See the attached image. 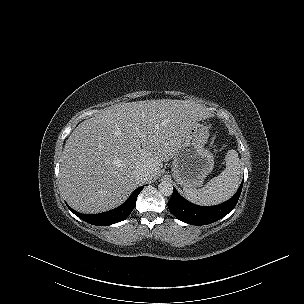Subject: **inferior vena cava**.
Listing matches in <instances>:
<instances>
[{"label":"inferior vena cava","instance_id":"obj_1","mask_svg":"<svg viewBox=\"0 0 304 304\" xmlns=\"http://www.w3.org/2000/svg\"><path fill=\"white\" fill-rule=\"evenodd\" d=\"M137 177L140 179V180H142V181H145V180H147V178H148V172L147 171H145V170H138L137 171Z\"/></svg>","mask_w":304,"mask_h":304}]
</instances>
